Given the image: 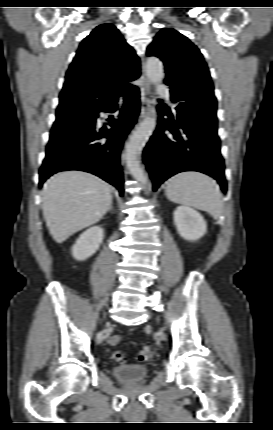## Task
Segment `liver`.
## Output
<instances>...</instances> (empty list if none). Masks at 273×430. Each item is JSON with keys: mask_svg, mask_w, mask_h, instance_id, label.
<instances>
[{"mask_svg": "<svg viewBox=\"0 0 273 430\" xmlns=\"http://www.w3.org/2000/svg\"><path fill=\"white\" fill-rule=\"evenodd\" d=\"M43 216L57 243L97 223L112 204L110 186L80 170L59 172L43 186Z\"/></svg>", "mask_w": 273, "mask_h": 430, "instance_id": "1", "label": "liver"}]
</instances>
